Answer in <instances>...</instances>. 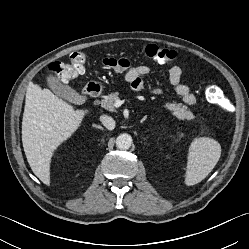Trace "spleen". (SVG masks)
Listing matches in <instances>:
<instances>
[{"instance_id": "1", "label": "spleen", "mask_w": 249, "mask_h": 249, "mask_svg": "<svg viewBox=\"0 0 249 249\" xmlns=\"http://www.w3.org/2000/svg\"><path fill=\"white\" fill-rule=\"evenodd\" d=\"M221 155L220 144L209 137L195 138L189 147L185 184L201 182L212 171Z\"/></svg>"}]
</instances>
